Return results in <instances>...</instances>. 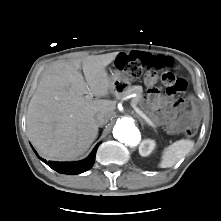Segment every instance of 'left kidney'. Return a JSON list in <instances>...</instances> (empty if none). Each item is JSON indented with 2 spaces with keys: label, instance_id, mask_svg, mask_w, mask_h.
Listing matches in <instances>:
<instances>
[{
  "label": "left kidney",
  "instance_id": "1",
  "mask_svg": "<svg viewBox=\"0 0 221 221\" xmlns=\"http://www.w3.org/2000/svg\"><path fill=\"white\" fill-rule=\"evenodd\" d=\"M156 144L154 140L151 139H145L140 145L139 153L141 156H148L152 153L154 150Z\"/></svg>",
  "mask_w": 221,
  "mask_h": 221
}]
</instances>
